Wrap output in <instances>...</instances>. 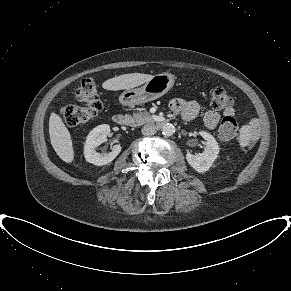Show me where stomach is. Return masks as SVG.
<instances>
[{"label":"stomach","instance_id":"1","mask_svg":"<svg viewBox=\"0 0 291 291\" xmlns=\"http://www.w3.org/2000/svg\"><path fill=\"white\" fill-rule=\"evenodd\" d=\"M175 76L171 73H162L153 76L143 86L124 91L119 101L123 106H135L153 101L166 94L174 85Z\"/></svg>","mask_w":291,"mask_h":291}]
</instances>
